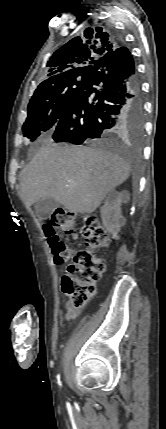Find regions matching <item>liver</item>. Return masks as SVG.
Listing matches in <instances>:
<instances>
[{
  "instance_id": "liver-1",
  "label": "liver",
  "mask_w": 166,
  "mask_h": 429,
  "mask_svg": "<svg viewBox=\"0 0 166 429\" xmlns=\"http://www.w3.org/2000/svg\"><path fill=\"white\" fill-rule=\"evenodd\" d=\"M129 174V164L108 150L48 144L22 171L21 198L28 208L53 198L71 212L92 213Z\"/></svg>"
}]
</instances>
